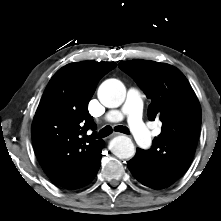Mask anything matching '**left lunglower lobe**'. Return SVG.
I'll return each mask as SVG.
<instances>
[{
	"label": "left lung lower lobe",
	"instance_id": "left-lung-lower-lobe-1",
	"mask_svg": "<svg viewBox=\"0 0 221 221\" xmlns=\"http://www.w3.org/2000/svg\"><path fill=\"white\" fill-rule=\"evenodd\" d=\"M127 166L132 175L143 185L153 189L165 188L158 183L144 150L138 148L136 155L128 162Z\"/></svg>",
	"mask_w": 221,
	"mask_h": 221
}]
</instances>
